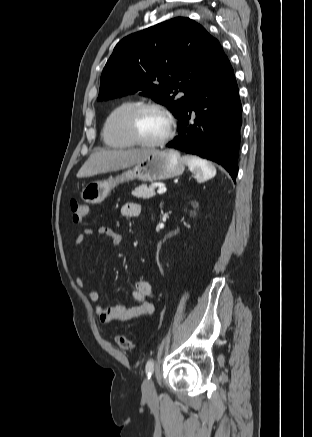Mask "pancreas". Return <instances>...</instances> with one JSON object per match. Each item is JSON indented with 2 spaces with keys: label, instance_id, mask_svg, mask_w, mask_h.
<instances>
[{
  "label": "pancreas",
  "instance_id": "cf45deb5",
  "mask_svg": "<svg viewBox=\"0 0 312 437\" xmlns=\"http://www.w3.org/2000/svg\"><path fill=\"white\" fill-rule=\"evenodd\" d=\"M132 195L137 198L149 199L155 195V186H147L146 184H142L132 191Z\"/></svg>",
  "mask_w": 312,
  "mask_h": 437
}]
</instances>
